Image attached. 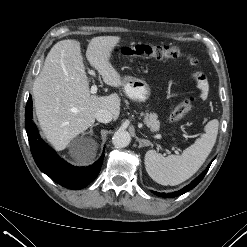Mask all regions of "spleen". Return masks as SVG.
<instances>
[{
  "mask_svg": "<svg viewBox=\"0 0 247 247\" xmlns=\"http://www.w3.org/2000/svg\"><path fill=\"white\" fill-rule=\"evenodd\" d=\"M218 120L209 121L205 133L195 143L183 150L181 155L164 157L155 150L145 154V168L149 176L161 185H178L193 176L203 165L215 145Z\"/></svg>",
  "mask_w": 247,
  "mask_h": 247,
  "instance_id": "1",
  "label": "spleen"
}]
</instances>
